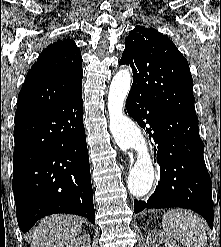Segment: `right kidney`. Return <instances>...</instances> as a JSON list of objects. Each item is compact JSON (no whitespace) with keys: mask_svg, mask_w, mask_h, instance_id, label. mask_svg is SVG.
I'll use <instances>...</instances> for the list:
<instances>
[{"mask_svg":"<svg viewBox=\"0 0 221 247\" xmlns=\"http://www.w3.org/2000/svg\"><path fill=\"white\" fill-rule=\"evenodd\" d=\"M66 247H91L90 235L84 234L71 240Z\"/></svg>","mask_w":221,"mask_h":247,"instance_id":"1","label":"right kidney"}]
</instances>
